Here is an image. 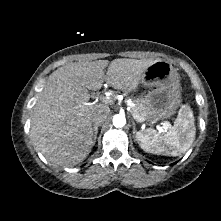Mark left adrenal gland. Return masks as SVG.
I'll return each instance as SVG.
<instances>
[{
    "label": "left adrenal gland",
    "mask_w": 221,
    "mask_h": 221,
    "mask_svg": "<svg viewBox=\"0 0 221 221\" xmlns=\"http://www.w3.org/2000/svg\"><path fill=\"white\" fill-rule=\"evenodd\" d=\"M136 133V129H135V123L133 122V134Z\"/></svg>",
    "instance_id": "1"
}]
</instances>
